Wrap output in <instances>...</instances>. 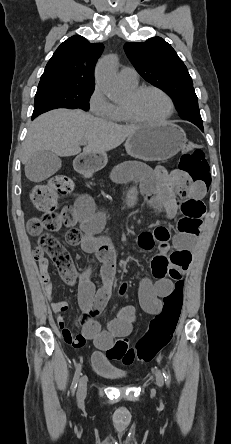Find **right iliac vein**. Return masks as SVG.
<instances>
[{"label": "right iliac vein", "instance_id": "obj_1", "mask_svg": "<svg viewBox=\"0 0 231 444\" xmlns=\"http://www.w3.org/2000/svg\"><path fill=\"white\" fill-rule=\"evenodd\" d=\"M87 392V378L85 376L81 377L79 381L77 398L79 401H83Z\"/></svg>", "mask_w": 231, "mask_h": 444}]
</instances>
